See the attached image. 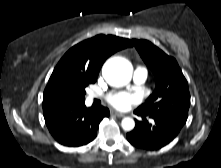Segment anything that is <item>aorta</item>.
Listing matches in <instances>:
<instances>
[{"label": "aorta", "mask_w": 221, "mask_h": 168, "mask_svg": "<svg viewBox=\"0 0 221 168\" xmlns=\"http://www.w3.org/2000/svg\"><path fill=\"white\" fill-rule=\"evenodd\" d=\"M132 73V64L122 57L110 58L102 69L103 77L114 87L127 85L132 78ZM121 126L125 131H131L135 127V121L130 117H125L122 119Z\"/></svg>", "instance_id": "1"}]
</instances>
